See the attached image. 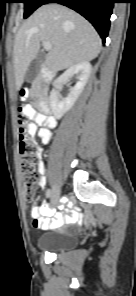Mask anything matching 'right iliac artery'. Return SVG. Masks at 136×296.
Masks as SVG:
<instances>
[{
  "label": "right iliac artery",
  "instance_id": "obj_1",
  "mask_svg": "<svg viewBox=\"0 0 136 296\" xmlns=\"http://www.w3.org/2000/svg\"><path fill=\"white\" fill-rule=\"evenodd\" d=\"M46 196H47V198H51V190L50 189H48L46 191Z\"/></svg>",
  "mask_w": 136,
  "mask_h": 296
}]
</instances>
